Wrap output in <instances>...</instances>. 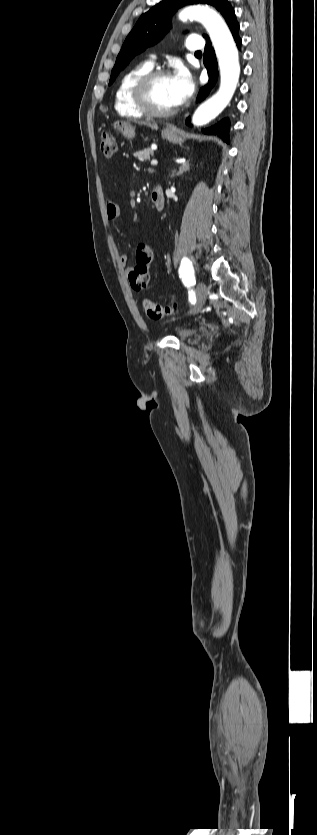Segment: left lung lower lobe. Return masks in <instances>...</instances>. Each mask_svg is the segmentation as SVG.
I'll use <instances>...</instances> for the list:
<instances>
[{"label":"left lung lower lobe","mask_w":317,"mask_h":835,"mask_svg":"<svg viewBox=\"0 0 317 835\" xmlns=\"http://www.w3.org/2000/svg\"><path fill=\"white\" fill-rule=\"evenodd\" d=\"M225 20H226V22H227V24H228V26H229V28L232 32V35L234 37V40H235L238 48L240 49L241 39L238 35L239 24L236 20V16H235V12H234L233 8L230 9V11H229L227 17L225 18ZM207 39L209 40V38H207ZM204 64L207 68V72H208V75H209V82L206 86H204L203 88L200 89L198 99H197L198 101L203 100L208 95V93L210 92V90L212 89L213 85L216 83L217 78H218V65H217V61H216L215 52H214L210 42H208L206 44V47H205ZM186 123L188 125H190V119L189 118L186 120ZM228 128H229L228 120L223 119L222 121H220L216 125L208 128V129H204L202 131L206 134H216V135L220 136L224 141L229 142Z\"/></svg>","instance_id":"1"}]
</instances>
